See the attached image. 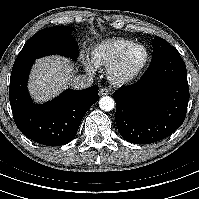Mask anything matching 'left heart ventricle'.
<instances>
[{
    "mask_svg": "<svg viewBox=\"0 0 199 199\" xmlns=\"http://www.w3.org/2000/svg\"><path fill=\"white\" fill-rule=\"evenodd\" d=\"M143 57H144V51L142 48H137L133 50L127 57V60L124 65V72L125 73L134 72L141 64Z\"/></svg>",
    "mask_w": 199,
    "mask_h": 199,
    "instance_id": "b2bd125f",
    "label": "left heart ventricle"
}]
</instances>
